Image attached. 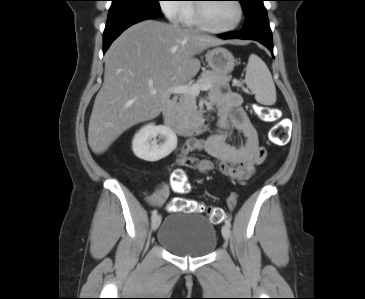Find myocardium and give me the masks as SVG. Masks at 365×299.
I'll return each mask as SVG.
<instances>
[{"label": "myocardium", "mask_w": 365, "mask_h": 299, "mask_svg": "<svg viewBox=\"0 0 365 299\" xmlns=\"http://www.w3.org/2000/svg\"><path fill=\"white\" fill-rule=\"evenodd\" d=\"M238 8V19L230 27L227 28H216L210 25L206 16V5L205 3H199L195 5L196 22L202 29L216 34L228 33L236 30L242 23L244 18V8L240 0H233Z\"/></svg>", "instance_id": "1"}]
</instances>
